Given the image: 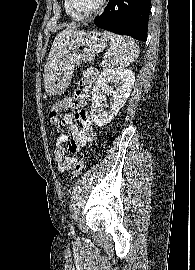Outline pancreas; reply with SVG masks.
Returning a JSON list of instances; mask_svg holds the SVG:
<instances>
[{"label":"pancreas","mask_w":195,"mask_h":270,"mask_svg":"<svg viewBox=\"0 0 195 270\" xmlns=\"http://www.w3.org/2000/svg\"><path fill=\"white\" fill-rule=\"evenodd\" d=\"M109 64L107 63V60L105 59L103 62H102V66L103 67H107Z\"/></svg>","instance_id":"cf45deb5"}]
</instances>
